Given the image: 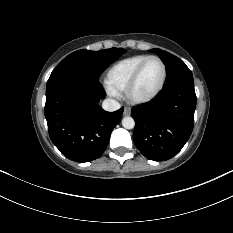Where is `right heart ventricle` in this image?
Wrapping results in <instances>:
<instances>
[{
  "instance_id": "obj_1",
  "label": "right heart ventricle",
  "mask_w": 233,
  "mask_h": 233,
  "mask_svg": "<svg viewBox=\"0 0 233 233\" xmlns=\"http://www.w3.org/2000/svg\"><path fill=\"white\" fill-rule=\"evenodd\" d=\"M147 57L148 55H135L112 65L106 74L108 89L115 94L124 92L135 70Z\"/></svg>"
}]
</instances>
